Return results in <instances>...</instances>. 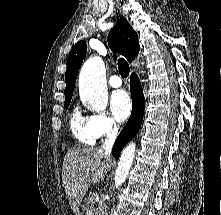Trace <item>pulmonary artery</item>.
Wrapping results in <instances>:
<instances>
[{"label": "pulmonary artery", "mask_w": 221, "mask_h": 215, "mask_svg": "<svg viewBox=\"0 0 221 215\" xmlns=\"http://www.w3.org/2000/svg\"><path fill=\"white\" fill-rule=\"evenodd\" d=\"M108 82H109V85L114 88L120 87L122 85V79L118 75L111 76Z\"/></svg>", "instance_id": "1"}]
</instances>
